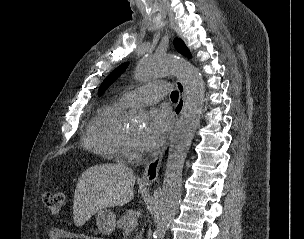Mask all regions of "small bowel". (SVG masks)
<instances>
[{"instance_id": "small-bowel-1", "label": "small bowel", "mask_w": 304, "mask_h": 239, "mask_svg": "<svg viewBox=\"0 0 304 239\" xmlns=\"http://www.w3.org/2000/svg\"><path fill=\"white\" fill-rule=\"evenodd\" d=\"M50 239H67L73 237V234L63 228L54 227L50 231Z\"/></svg>"}]
</instances>
